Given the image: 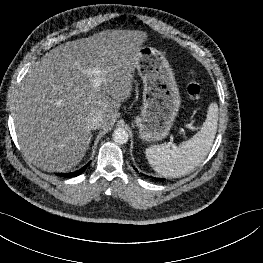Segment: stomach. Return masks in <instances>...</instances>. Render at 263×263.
Listing matches in <instances>:
<instances>
[{"label":"stomach","mask_w":263,"mask_h":263,"mask_svg":"<svg viewBox=\"0 0 263 263\" xmlns=\"http://www.w3.org/2000/svg\"><path fill=\"white\" fill-rule=\"evenodd\" d=\"M136 69L143 80V107L134 124L144 142L165 139L178 115L181 97L174 73L165 55L141 46Z\"/></svg>","instance_id":"stomach-1"}]
</instances>
